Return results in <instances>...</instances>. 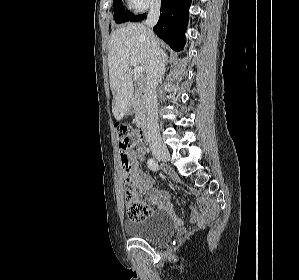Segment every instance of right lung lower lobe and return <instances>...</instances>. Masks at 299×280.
I'll use <instances>...</instances> for the list:
<instances>
[{
	"label": "right lung lower lobe",
	"instance_id": "98d812e1",
	"mask_svg": "<svg viewBox=\"0 0 299 280\" xmlns=\"http://www.w3.org/2000/svg\"><path fill=\"white\" fill-rule=\"evenodd\" d=\"M191 0H161V14L153 31L173 50L180 51L185 45L184 32L188 22ZM146 18V13L133 16L129 21Z\"/></svg>",
	"mask_w": 299,
	"mask_h": 280
}]
</instances>
